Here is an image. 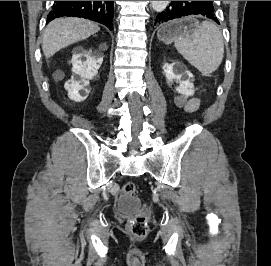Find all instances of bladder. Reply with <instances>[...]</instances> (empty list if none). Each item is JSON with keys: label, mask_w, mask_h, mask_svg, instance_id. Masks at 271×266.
Masks as SVG:
<instances>
[{"label": "bladder", "mask_w": 271, "mask_h": 266, "mask_svg": "<svg viewBox=\"0 0 271 266\" xmlns=\"http://www.w3.org/2000/svg\"><path fill=\"white\" fill-rule=\"evenodd\" d=\"M117 206L123 213H132L141 206V202L135 196H123L118 200Z\"/></svg>", "instance_id": "bladder-1"}]
</instances>
